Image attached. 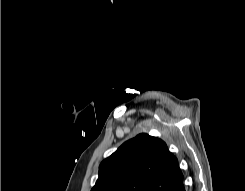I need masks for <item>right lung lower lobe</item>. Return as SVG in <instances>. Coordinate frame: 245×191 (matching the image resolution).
I'll return each instance as SVG.
<instances>
[{
    "label": "right lung lower lobe",
    "instance_id": "obj_1",
    "mask_svg": "<svg viewBox=\"0 0 245 191\" xmlns=\"http://www.w3.org/2000/svg\"><path fill=\"white\" fill-rule=\"evenodd\" d=\"M171 191H185L183 181L175 186L173 189H171Z\"/></svg>",
    "mask_w": 245,
    "mask_h": 191
}]
</instances>
